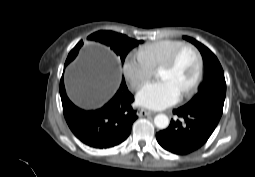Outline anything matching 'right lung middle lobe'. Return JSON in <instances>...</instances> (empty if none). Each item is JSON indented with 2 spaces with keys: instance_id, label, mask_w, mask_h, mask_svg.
<instances>
[{
  "instance_id": "right-lung-middle-lobe-1",
  "label": "right lung middle lobe",
  "mask_w": 255,
  "mask_h": 177,
  "mask_svg": "<svg viewBox=\"0 0 255 177\" xmlns=\"http://www.w3.org/2000/svg\"><path fill=\"white\" fill-rule=\"evenodd\" d=\"M88 39L95 40L109 46L120 57L122 63H124L126 55L132 48H134L136 45L140 43H143L142 40L137 41L135 39L127 37L126 35L116 33L113 31H98L90 35ZM82 45H83V42L80 41L79 48L76 50L74 58L77 56L78 51ZM68 62L69 61H66V64ZM124 82L125 81L123 79L122 83Z\"/></svg>"
}]
</instances>
